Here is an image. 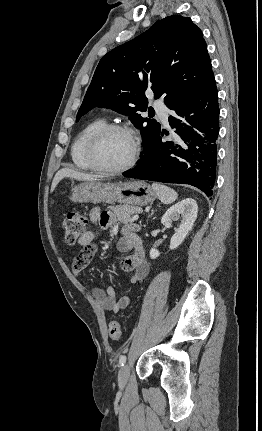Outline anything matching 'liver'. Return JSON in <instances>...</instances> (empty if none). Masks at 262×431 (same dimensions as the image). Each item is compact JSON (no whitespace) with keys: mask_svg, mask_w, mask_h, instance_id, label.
<instances>
[{"mask_svg":"<svg viewBox=\"0 0 262 431\" xmlns=\"http://www.w3.org/2000/svg\"><path fill=\"white\" fill-rule=\"evenodd\" d=\"M72 178V179H76L78 181H96V180H100L101 178H103V176L101 175H93V174H88V173H83V172H79L76 171L74 169H70V168H62L60 169L53 181H52V185H51V192H53L55 190V188L57 187L58 183L63 179V178Z\"/></svg>","mask_w":262,"mask_h":431,"instance_id":"obj_1","label":"liver"}]
</instances>
